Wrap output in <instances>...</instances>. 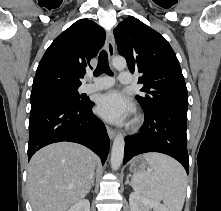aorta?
<instances>
[{"label":"aorta","mask_w":221,"mask_h":211,"mask_svg":"<svg viewBox=\"0 0 221 211\" xmlns=\"http://www.w3.org/2000/svg\"><path fill=\"white\" fill-rule=\"evenodd\" d=\"M112 65L117 70H123L126 68L127 63L123 57H115L112 59ZM124 147H125L124 136L121 133H119L116 135L113 141V146L111 151L112 170L116 171L121 166L124 157Z\"/></svg>","instance_id":"aorta-1"}]
</instances>
